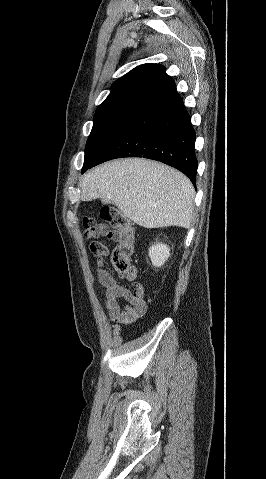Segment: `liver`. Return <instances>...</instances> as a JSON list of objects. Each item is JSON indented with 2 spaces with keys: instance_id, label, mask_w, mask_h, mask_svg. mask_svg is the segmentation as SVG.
Wrapping results in <instances>:
<instances>
[{
  "instance_id": "6515ba94",
  "label": "liver",
  "mask_w": 266,
  "mask_h": 479,
  "mask_svg": "<svg viewBox=\"0 0 266 479\" xmlns=\"http://www.w3.org/2000/svg\"><path fill=\"white\" fill-rule=\"evenodd\" d=\"M81 200L108 199L122 215L145 228L193 222L195 191L181 172L158 162L127 158L104 163L80 181Z\"/></svg>"
}]
</instances>
